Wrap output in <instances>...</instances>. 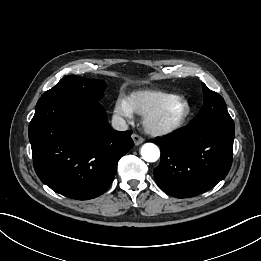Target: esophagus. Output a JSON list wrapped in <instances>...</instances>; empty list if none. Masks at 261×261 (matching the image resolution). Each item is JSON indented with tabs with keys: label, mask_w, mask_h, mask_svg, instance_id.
Wrapping results in <instances>:
<instances>
[{
	"label": "esophagus",
	"mask_w": 261,
	"mask_h": 261,
	"mask_svg": "<svg viewBox=\"0 0 261 261\" xmlns=\"http://www.w3.org/2000/svg\"><path fill=\"white\" fill-rule=\"evenodd\" d=\"M132 139L135 145H140L144 141V139L138 134H132Z\"/></svg>",
	"instance_id": "34e87169"
}]
</instances>
